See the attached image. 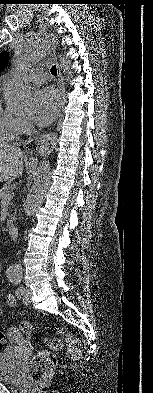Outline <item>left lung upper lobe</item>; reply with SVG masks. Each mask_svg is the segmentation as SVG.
Here are the masks:
<instances>
[{"instance_id":"obj_1","label":"left lung upper lobe","mask_w":153,"mask_h":393,"mask_svg":"<svg viewBox=\"0 0 153 393\" xmlns=\"http://www.w3.org/2000/svg\"><path fill=\"white\" fill-rule=\"evenodd\" d=\"M8 62V53L6 51L0 53V72L4 69Z\"/></svg>"}]
</instances>
